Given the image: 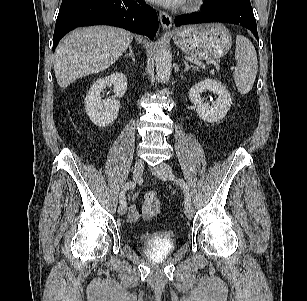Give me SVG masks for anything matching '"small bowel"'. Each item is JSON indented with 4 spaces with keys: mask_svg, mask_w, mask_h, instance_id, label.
Returning <instances> with one entry per match:
<instances>
[{
    "mask_svg": "<svg viewBox=\"0 0 307 301\" xmlns=\"http://www.w3.org/2000/svg\"><path fill=\"white\" fill-rule=\"evenodd\" d=\"M136 197V196H134ZM139 212L136 206H131L128 212V218L130 221H135L138 218Z\"/></svg>",
    "mask_w": 307,
    "mask_h": 301,
    "instance_id": "obj_1",
    "label": "small bowel"
}]
</instances>
